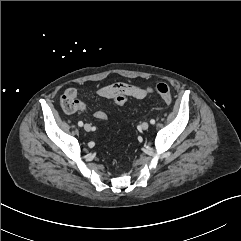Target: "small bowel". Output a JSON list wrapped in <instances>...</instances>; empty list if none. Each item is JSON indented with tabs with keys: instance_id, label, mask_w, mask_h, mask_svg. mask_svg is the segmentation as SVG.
Returning a JSON list of instances; mask_svg holds the SVG:
<instances>
[{
	"instance_id": "1",
	"label": "small bowel",
	"mask_w": 241,
	"mask_h": 241,
	"mask_svg": "<svg viewBox=\"0 0 241 241\" xmlns=\"http://www.w3.org/2000/svg\"><path fill=\"white\" fill-rule=\"evenodd\" d=\"M114 87L124 88V93L127 97L134 99H144L153 90L150 87H140L130 83L119 82L115 84H110L102 86L96 90L98 96L106 99H114V95L110 94V90ZM60 104L64 112L67 114H72L76 111H87V106L78 98V91L74 87L67 88L60 98ZM104 112L101 110L94 112V117L99 119L100 115Z\"/></svg>"
}]
</instances>
